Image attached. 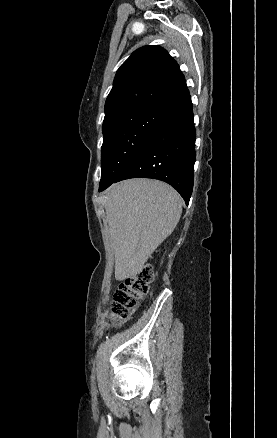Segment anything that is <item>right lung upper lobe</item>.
Returning a JSON list of instances; mask_svg holds the SVG:
<instances>
[{
	"label": "right lung upper lobe",
	"mask_w": 277,
	"mask_h": 438,
	"mask_svg": "<svg viewBox=\"0 0 277 438\" xmlns=\"http://www.w3.org/2000/svg\"><path fill=\"white\" fill-rule=\"evenodd\" d=\"M189 94L175 60L160 46L136 50L118 69L105 104V118L166 111Z\"/></svg>",
	"instance_id": "1"
}]
</instances>
